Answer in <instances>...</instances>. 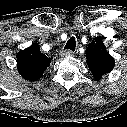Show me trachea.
<instances>
[{"instance_id":"1","label":"trachea","mask_w":127,"mask_h":127,"mask_svg":"<svg viewBox=\"0 0 127 127\" xmlns=\"http://www.w3.org/2000/svg\"><path fill=\"white\" fill-rule=\"evenodd\" d=\"M75 48H76V40H75L74 37H71V38L67 41V43H66L64 49H69V50H71V51H75Z\"/></svg>"}]
</instances>
